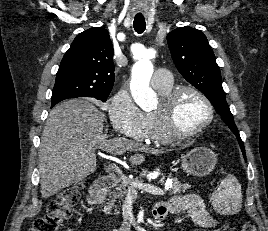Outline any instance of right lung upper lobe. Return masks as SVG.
Listing matches in <instances>:
<instances>
[{"mask_svg": "<svg viewBox=\"0 0 268 231\" xmlns=\"http://www.w3.org/2000/svg\"><path fill=\"white\" fill-rule=\"evenodd\" d=\"M114 84L113 45L109 33L93 27L80 33L65 53L54 88L66 94L52 105L75 97L106 96Z\"/></svg>", "mask_w": 268, "mask_h": 231, "instance_id": "cb5924a9", "label": "right lung upper lobe"}]
</instances>
